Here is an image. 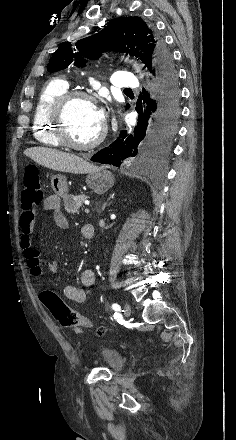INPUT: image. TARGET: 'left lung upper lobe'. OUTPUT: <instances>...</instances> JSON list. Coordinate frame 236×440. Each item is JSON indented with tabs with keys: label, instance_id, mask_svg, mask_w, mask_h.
<instances>
[{
	"label": "left lung upper lobe",
	"instance_id": "obj_1",
	"mask_svg": "<svg viewBox=\"0 0 236 440\" xmlns=\"http://www.w3.org/2000/svg\"><path fill=\"white\" fill-rule=\"evenodd\" d=\"M105 51L130 54L140 59L146 67L160 61L167 64L172 62L163 40L140 17H121L114 19L98 34L75 44L63 43L54 52L47 69L56 72L70 64L84 67L85 59H97Z\"/></svg>",
	"mask_w": 236,
	"mask_h": 440
}]
</instances>
